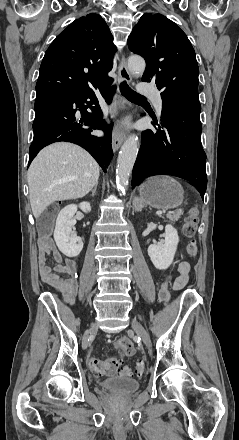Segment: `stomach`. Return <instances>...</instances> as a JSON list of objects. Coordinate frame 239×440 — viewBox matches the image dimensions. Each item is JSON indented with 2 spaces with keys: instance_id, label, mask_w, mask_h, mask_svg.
Here are the masks:
<instances>
[{
  "instance_id": "0dacf381",
  "label": "stomach",
  "mask_w": 239,
  "mask_h": 440,
  "mask_svg": "<svg viewBox=\"0 0 239 440\" xmlns=\"http://www.w3.org/2000/svg\"><path fill=\"white\" fill-rule=\"evenodd\" d=\"M140 202L157 208L171 210L181 206L184 200V190L176 180L168 176H153L139 186Z\"/></svg>"
}]
</instances>
